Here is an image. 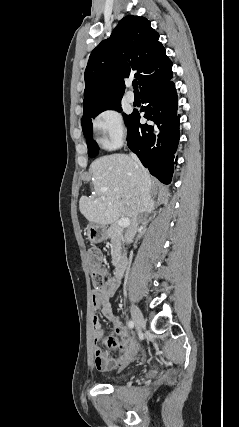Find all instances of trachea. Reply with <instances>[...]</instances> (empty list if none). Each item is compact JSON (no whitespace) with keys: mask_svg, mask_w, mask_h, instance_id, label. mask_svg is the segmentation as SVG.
Instances as JSON below:
<instances>
[{"mask_svg":"<svg viewBox=\"0 0 239 427\" xmlns=\"http://www.w3.org/2000/svg\"><path fill=\"white\" fill-rule=\"evenodd\" d=\"M132 85H133V88H134V92H138V82H137V80H134L133 83H132Z\"/></svg>","mask_w":239,"mask_h":427,"instance_id":"3493384b","label":"trachea"}]
</instances>
